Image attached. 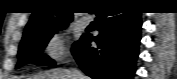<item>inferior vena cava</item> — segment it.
Wrapping results in <instances>:
<instances>
[{
	"label": "inferior vena cava",
	"instance_id": "1",
	"mask_svg": "<svg viewBox=\"0 0 177 79\" xmlns=\"http://www.w3.org/2000/svg\"><path fill=\"white\" fill-rule=\"evenodd\" d=\"M71 73L73 79H85L84 75L77 68H71Z\"/></svg>",
	"mask_w": 177,
	"mask_h": 79
}]
</instances>
